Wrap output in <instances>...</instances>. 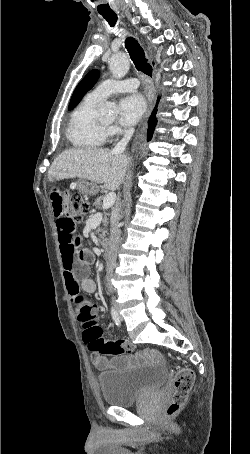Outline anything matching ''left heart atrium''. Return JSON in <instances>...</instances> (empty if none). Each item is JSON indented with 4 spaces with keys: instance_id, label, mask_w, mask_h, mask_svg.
I'll use <instances>...</instances> for the list:
<instances>
[{
    "instance_id": "1",
    "label": "left heart atrium",
    "mask_w": 250,
    "mask_h": 454,
    "mask_svg": "<svg viewBox=\"0 0 250 454\" xmlns=\"http://www.w3.org/2000/svg\"><path fill=\"white\" fill-rule=\"evenodd\" d=\"M120 122L125 126L135 124L146 110V101L140 93H132L121 99L119 103Z\"/></svg>"
}]
</instances>
